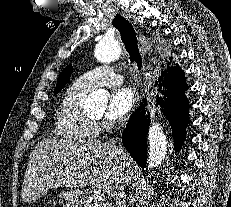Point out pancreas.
<instances>
[{"instance_id": "1", "label": "pancreas", "mask_w": 231, "mask_h": 207, "mask_svg": "<svg viewBox=\"0 0 231 207\" xmlns=\"http://www.w3.org/2000/svg\"><path fill=\"white\" fill-rule=\"evenodd\" d=\"M84 207H107L103 202L98 201L96 198L88 199Z\"/></svg>"}]
</instances>
